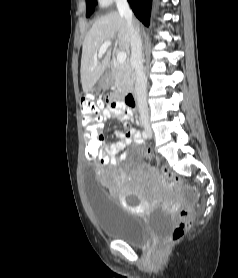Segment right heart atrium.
Listing matches in <instances>:
<instances>
[{
    "label": "right heart atrium",
    "instance_id": "d8ad5b80",
    "mask_svg": "<svg viewBox=\"0 0 238 278\" xmlns=\"http://www.w3.org/2000/svg\"><path fill=\"white\" fill-rule=\"evenodd\" d=\"M113 1L115 0H99L100 4L104 6L111 4Z\"/></svg>",
    "mask_w": 238,
    "mask_h": 278
}]
</instances>
